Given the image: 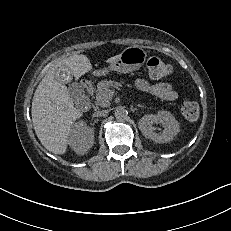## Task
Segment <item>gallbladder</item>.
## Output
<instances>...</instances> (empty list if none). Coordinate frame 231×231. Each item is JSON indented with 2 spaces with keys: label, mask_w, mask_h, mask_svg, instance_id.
<instances>
[{
  "label": "gallbladder",
  "mask_w": 231,
  "mask_h": 231,
  "mask_svg": "<svg viewBox=\"0 0 231 231\" xmlns=\"http://www.w3.org/2000/svg\"><path fill=\"white\" fill-rule=\"evenodd\" d=\"M56 78L58 81L62 83H67L72 78V73L66 66H61L58 68L56 73ZM69 93L72 95L75 99H81L84 96L83 88L77 84L72 83L69 86Z\"/></svg>",
  "instance_id": "gallbladder-1"
}]
</instances>
